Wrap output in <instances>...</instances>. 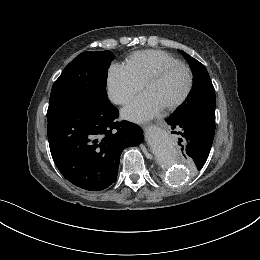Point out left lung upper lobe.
Masks as SVG:
<instances>
[{"label": "left lung upper lobe", "instance_id": "obj_1", "mask_svg": "<svg viewBox=\"0 0 260 260\" xmlns=\"http://www.w3.org/2000/svg\"><path fill=\"white\" fill-rule=\"evenodd\" d=\"M181 53L185 56L193 70L194 84L187 103L176 113L206 111L215 114V90L206 68L187 53L183 51H181Z\"/></svg>", "mask_w": 260, "mask_h": 260}]
</instances>
